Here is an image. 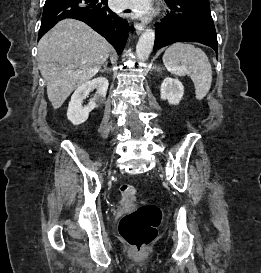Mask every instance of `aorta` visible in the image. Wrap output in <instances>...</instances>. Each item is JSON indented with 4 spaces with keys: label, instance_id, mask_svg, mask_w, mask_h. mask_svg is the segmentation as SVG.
<instances>
[{
    "label": "aorta",
    "instance_id": "762f6f07",
    "mask_svg": "<svg viewBox=\"0 0 261 273\" xmlns=\"http://www.w3.org/2000/svg\"><path fill=\"white\" fill-rule=\"evenodd\" d=\"M155 41V31L152 29L145 30L139 38L136 45V55L138 60L144 62L150 56Z\"/></svg>",
    "mask_w": 261,
    "mask_h": 273
}]
</instances>
